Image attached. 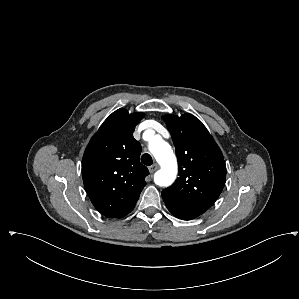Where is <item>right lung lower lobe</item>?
Masks as SVG:
<instances>
[{
    "label": "right lung lower lobe",
    "mask_w": 299,
    "mask_h": 299,
    "mask_svg": "<svg viewBox=\"0 0 299 299\" xmlns=\"http://www.w3.org/2000/svg\"><path fill=\"white\" fill-rule=\"evenodd\" d=\"M132 209H133V208H132ZM132 209H131L130 211H128L125 215H127L128 213H130V212L132 211ZM125 215H124V216H125ZM122 217H123V216H122Z\"/></svg>",
    "instance_id": "98d812e1"
}]
</instances>
